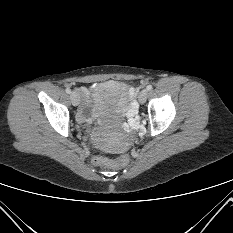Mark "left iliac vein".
Wrapping results in <instances>:
<instances>
[{"instance_id":"4c4485c4","label":"left iliac vein","mask_w":233,"mask_h":233,"mask_svg":"<svg viewBox=\"0 0 233 233\" xmlns=\"http://www.w3.org/2000/svg\"><path fill=\"white\" fill-rule=\"evenodd\" d=\"M147 95H148V91L147 89H143L138 97V100L141 104L145 103L146 99H147Z\"/></svg>"}]
</instances>
